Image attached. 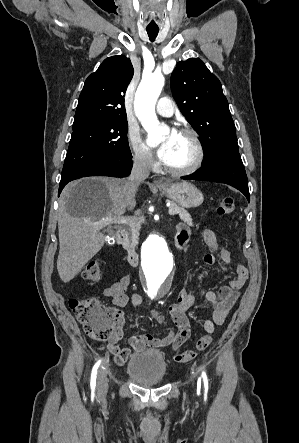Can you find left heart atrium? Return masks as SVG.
I'll list each match as a JSON object with an SVG mask.
<instances>
[{
  "mask_svg": "<svg viewBox=\"0 0 299 443\" xmlns=\"http://www.w3.org/2000/svg\"><path fill=\"white\" fill-rule=\"evenodd\" d=\"M176 134H177V133L173 131V132L170 134V138H169V140L166 141L165 143L161 144V145L159 146V148L157 149V155H158V157H159L162 161H164V159L166 158V155H167V151H168V148H169L170 142L175 138Z\"/></svg>",
  "mask_w": 299,
  "mask_h": 443,
  "instance_id": "39dd6f15",
  "label": "left heart atrium"
}]
</instances>
